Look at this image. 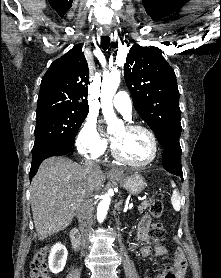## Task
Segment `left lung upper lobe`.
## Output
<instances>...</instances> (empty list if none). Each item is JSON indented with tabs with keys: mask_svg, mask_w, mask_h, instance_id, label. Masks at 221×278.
Here are the masks:
<instances>
[{
	"mask_svg": "<svg viewBox=\"0 0 221 278\" xmlns=\"http://www.w3.org/2000/svg\"><path fill=\"white\" fill-rule=\"evenodd\" d=\"M124 76L134 107L154 131L162 147L179 144V91L172 67L160 49L135 42L129 50Z\"/></svg>",
	"mask_w": 221,
	"mask_h": 278,
	"instance_id": "1",
	"label": "left lung upper lobe"
}]
</instances>
